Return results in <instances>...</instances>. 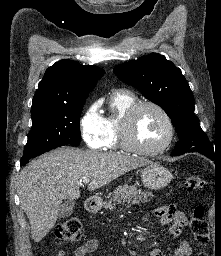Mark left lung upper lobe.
Segmentation results:
<instances>
[{
  "instance_id": "left-lung-upper-lobe-1",
  "label": "left lung upper lobe",
  "mask_w": 221,
  "mask_h": 256,
  "mask_svg": "<svg viewBox=\"0 0 221 256\" xmlns=\"http://www.w3.org/2000/svg\"><path fill=\"white\" fill-rule=\"evenodd\" d=\"M123 82L137 88L144 97L159 105L171 118L179 141L175 151L198 148L214 152L194 113V98L181 70L163 55L151 53L114 67Z\"/></svg>"
}]
</instances>
